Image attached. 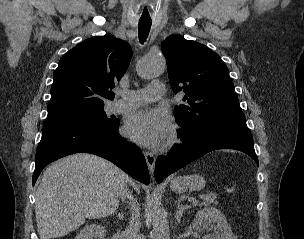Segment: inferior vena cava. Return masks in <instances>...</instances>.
<instances>
[{
  "instance_id": "1",
  "label": "inferior vena cava",
  "mask_w": 304,
  "mask_h": 239,
  "mask_svg": "<svg viewBox=\"0 0 304 239\" xmlns=\"http://www.w3.org/2000/svg\"><path fill=\"white\" fill-rule=\"evenodd\" d=\"M122 199H129V205L131 206V218L129 225L126 229V233L128 235V239H142L141 236L138 234L140 224V208L137 201L133 198L132 194L125 189L122 193Z\"/></svg>"
}]
</instances>
